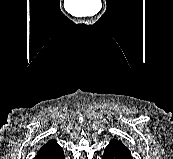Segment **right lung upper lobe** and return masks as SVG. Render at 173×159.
<instances>
[{
	"instance_id": "1",
	"label": "right lung upper lobe",
	"mask_w": 173,
	"mask_h": 159,
	"mask_svg": "<svg viewBox=\"0 0 173 159\" xmlns=\"http://www.w3.org/2000/svg\"><path fill=\"white\" fill-rule=\"evenodd\" d=\"M62 149L57 143L56 140L48 141L38 152L35 159H41V157L54 153L58 150Z\"/></svg>"
}]
</instances>
